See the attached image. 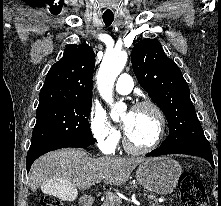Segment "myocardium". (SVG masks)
Segmentation results:
<instances>
[{"label":"myocardium","instance_id":"myocardium-1","mask_svg":"<svg viewBox=\"0 0 221 206\" xmlns=\"http://www.w3.org/2000/svg\"><path fill=\"white\" fill-rule=\"evenodd\" d=\"M143 108H148L154 112V114L156 115V118H157L158 129H157V134H156V137L154 138V140L151 143H149L148 145L143 146V147H136V146L132 145L130 140L128 139L126 133L124 134L123 146H124L125 150L132 153V154H136V155L146 154V153L154 150L156 147H158L159 144L161 143V141L165 135V131H166V119H165L164 113L161 110V108L155 102H153L151 100H142V101L136 103L132 107V111L140 110Z\"/></svg>","mask_w":221,"mask_h":206}]
</instances>
